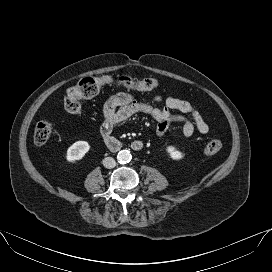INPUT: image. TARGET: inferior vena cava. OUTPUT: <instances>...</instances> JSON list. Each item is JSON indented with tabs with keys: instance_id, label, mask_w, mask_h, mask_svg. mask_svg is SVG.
Wrapping results in <instances>:
<instances>
[{
	"instance_id": "inferior-vena-cava-1",
	"label": "inferior vena cava",
	"mask_w": 272,
	"mask_h": 272,
	"mask_svg": "<svg viewBox=\"0 0 272 272\" xmlns=\"http://www.w3.org/2000/svg\"><path fill=\"white\" fill-rule=\"evenodd\" d=\"M103 165L104 167L111 169L116 166V161L112 157H106L103 159Z\"/></svg>"
}]
</instances>
